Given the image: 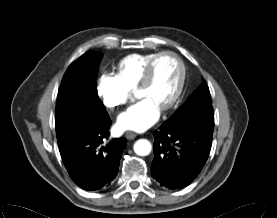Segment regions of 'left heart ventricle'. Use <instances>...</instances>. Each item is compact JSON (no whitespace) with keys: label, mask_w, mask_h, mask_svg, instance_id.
<instances>
[{"label":"left heart ventricle","mask_w":277,"mask_h":218,"mask_svg":"<svg viewBox=\"0 0 277 218\" xmlns=\"http://www.w3.org/2000/svg\"><path fill=\"white\" fill-rule=\"evenodd\" d=\"M180 78V68L174 58H160L153 71V77L147 87L137 91L139 97L150 98L160 108L173 95Z\"/></svg>","instance_id":"b2bd125f"}]
</instances>
